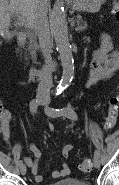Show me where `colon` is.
I'll use <instances>...</instances> for the list:
<instances>
[{
  "label": "colon",
  "instance_id": "colon-1",
  "mask_svg": "<svg viewBox=\"0 0 119 185\" xmlns=\"http://www.w3.org/2000/svg\"><path fill=\"white\" fill-rule=\"evenodd\" d=\"M112 14L119 19V5L117 2L113 4ZM118 104L119 97L118 95H114L110 98L108 102V111L104 120V128L105 130H112L117 122L118 116ZM5 114L2 112L0 107V118H1V129H2V120L4 119ZM79 170L82 173H88L92 170V162L90 159H85L79 164Z\"/></svg>",
  "mask_w": 119,
  "mask_h": 185
}]
</instances>
